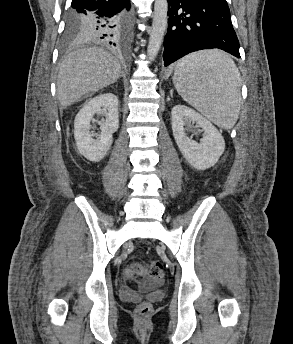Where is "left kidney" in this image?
<instances>
[{"mask_svg":"<svg viewBox=\"0 0 293 344\" xmlns=\"http://www.w3.org/2000/svg\"><path fill=\"white\" fill-rule=\"evenodd\" d=\"M172 131L186 161L198 170L214 166L225 150V141L218 129L204 116L185 105H176L171 112ZM193 123L204 131L200 142L191 140L185 128Z\"/></svg>","mask_w":293,"mask_h":344,"instance_id":"obj_1","label":"left kidney"}]
</instances>
